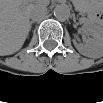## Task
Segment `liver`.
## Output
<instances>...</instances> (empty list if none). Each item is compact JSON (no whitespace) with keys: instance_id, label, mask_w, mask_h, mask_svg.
<instances>
[{"instance_id":"1","label":"liver","mask_w":103,"mask_h":103,"mask_svg":"<svg viewBox=\"0 0 103 103\" xmlns=\"http://www.w3.org/2000/svg\"><path fill=\"white\" fill-rule=\"evenodd\" d=\"M38 7L44 4L23 0L1 2V55H11L21 49L30 31V12Z\"/></svg>"}]
</instances>
